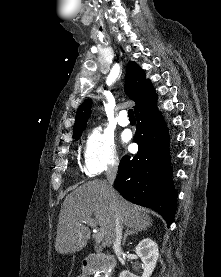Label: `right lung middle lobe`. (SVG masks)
Wrapping results in <instances>:
<instances>
[{
	"label": "right lung middle lobe",
	"mask_w": 221,
	"mask_h": 277,
	"mask_svg": "<svg viewBox=\"0 0 221 277\" xmlns=\"http://www.w3.org/2000/svg\"><path fill=\"white\" fill-rule=\"evenodd\" d=\"M81 134H82V131L77 132V133H74V134H73V138H74L75 140H77V139H79V137L81 136Z\"/></svg>",
	"instance_id": "right-lung-middle-lobe-1"
}]
</instances>
